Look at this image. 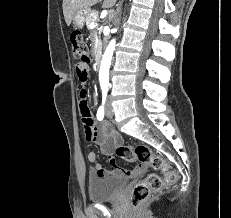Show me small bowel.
<instances>
[{"mask_svg":"<svg viewBox=\"0 0 231 218\" xmlns=\"http://www.w3.org/2000/svg\"><path fill=\"white\" fill-rule=\"evenodd\" d=\"M90 63L89 57L85 56L80 59L79 63L75 64L74 69L76 71V76L83 85H85L88 74H90V69H88ZM80 110L83 117L84 133L87 140L94 141L100 145L102 152L108 156L111 166V169H106L101 164L96 163V153L89 152L87 160L89 163L94 164L92 173L98 176L114 174L129 178L141 175L146 169L144 164H139L131 169H124L118 165L113 154L116 151V148L121 145L120 137L109 124L103 123L100 126L95 124L88 104V93L85 87L80 91Z\"/></svg>","mask_w":231,"mask_h":218,"instance_id":"1","label":"small bowel"}]
</instances>
